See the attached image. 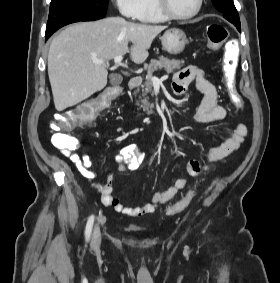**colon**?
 Segmentation results:
<instances>
[{
    "label": "colon",
    "mask_w": 280,
    "mask_h": 283,
    "mask_svg": "<svg viewBox=\"0 0 280 283\" xmlns=\"http://www.w3.org/2000/svg\"><path fill=\"white\" fill-rule=\"evenodd\" d=\"M227 29L218 24H213L207 28L208 48L218 49L223 43V81L233 103L241 107L242 99L236 89V70L238 65V50L235 40H227ZM123 87H104V92L99 98L88 101L75 110H63V114H54L57 122H52L50 127L53 131L52 143L61 151L69 152L79 145V139L65 132H76L81 124H92V120L99 119L98 112H103V106L111 99L116 98ZM195 195V190H190L180 201L171 206L168 210L169 215H175L182 212L190 204Z\"/></svg>",
    "instance_id": "1"
}]
</instances>
